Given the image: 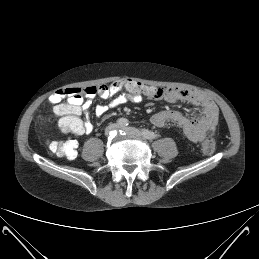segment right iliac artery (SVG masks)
Segmentation results:
<instances>
[{"instance_id": "82829eb1", "label": "right iliac artery", "mask_w": 259, "mask_h": 259, "mask_svg": "<svg viewBox=\"0 0 259 259\" xmlns=\"http://www.w3.org/2000/svg\"><path fill=\"white\" fill-rule=\"evenodd\" d=\"M116 122H117V125L120 127L128 126V120L125 118H119Z\"/></svg>"}]
</instances>
